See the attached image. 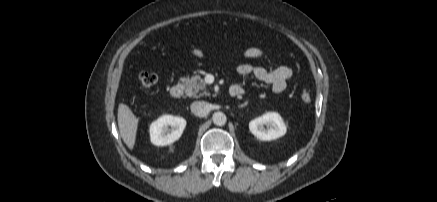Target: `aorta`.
Instances as JSON below:
<instances>
[{"mask_svg":"<svg viewBox=\"0 0 437 202\" xmlns=\"http://www.w3.org/2000/svg\"><path fill=\"white\" fill-rule=\"evenodd\" d=\"M213 123L217 126L225 125L227 118L223 112H215L212 116Z\"/></svg>","mask_w":437,"mask_h":202,"instance_id":"1","label":"aorta"}]
</instances>
